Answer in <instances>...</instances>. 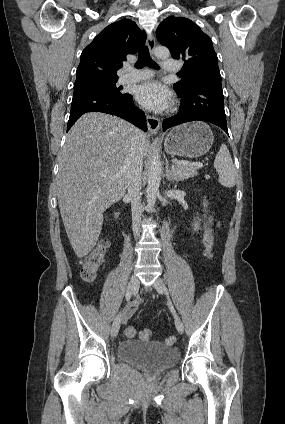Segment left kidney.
Instances as JSON below:
<instances>
[{
    "mask_svg": "<svg viewBox=\"0 0 285 424\" xmlns=\"http://www.w3.org/2000/svg\"><path fill=\"white\" fill-rule=\"evenodd\" d=\"M200 220V219H199ZM199 222H196L193 226H194V230L197 231L199 229Z\"/></svg>",
    "mask_w": 285,
    "mask_h": 424,
    "instance_id": "left-kidney-1",
    "label": "left kidney"
}]
</instances>
